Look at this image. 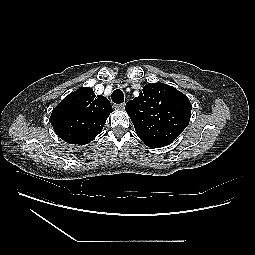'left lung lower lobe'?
I'll list each match as a JSON object with an SVG mask.
<instances>
[{
    "mask_svg": "<svg viewBox=\"0 0 255 255\" xmlns=\"http://www.w3.org/2000/svg\"><path fill=\"white\" fill-rule=\"evenodd\" d=\"M169 144L170 143H159V144L152 145V146H149V147H151V148H161V147L167 146Z\"/></svg>",
    "mask_w": 255,
    "mask_h": 255,
    "instance_id": "left-lung-lower-lobe-1",
    "label": "left lung lower lobe"
}]
</instances>
